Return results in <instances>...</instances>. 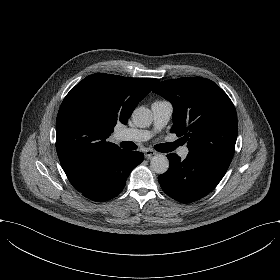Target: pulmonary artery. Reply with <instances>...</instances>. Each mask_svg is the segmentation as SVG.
Instances as JSON below:
<instances>
[{
    "label": "pulmonary artery",
    "mask_w": 280,
    "mask_h": 280,
    "mask_svg": "<svg viewBox=\"0 0 280 280\" xmlns=\"http://www.w3.org/2000/svg\"><path fill=\"white\" fill-rule=\"evenodd\" d=\"M152 121L154 130L149 131L145 129H125L120 136L125 140L134 142H143L153 136L155 132L162 130L170 121L173 113V106L167 100H157L151 105ZM189 154V148L184 145L178 149V155L181 158H186Z\"/></svg>",
    "instance_id": "1"
}]
</instances>
